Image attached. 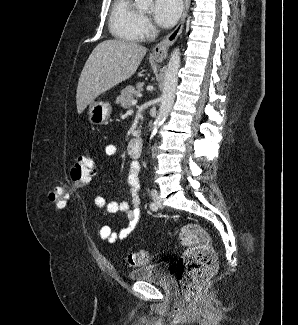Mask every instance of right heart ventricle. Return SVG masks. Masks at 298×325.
Masks as SVG:
<instances>
[{"mask_svg":"<svg viewBox=\"0 0 298 325\" xmlns=\"http://www.w3.org/2000/svg\"><path fill=\"white\" fill-rule=\"evenodd\" d=\"M140 18L141 14L133 1H116L109 16L111 36L120 37L121 41H135L133 31L139 27Z\"/></svg>","mask_w":298,"mask_h":325,"instance_id":"1","label":"right heart ventricle"}]
</instances>
